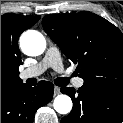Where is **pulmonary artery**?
I'll return each instance as SVG.
<instances>
[{"label":"pulmonary artery","mask_w":123,"mask_h":123,"mask_svg":"<svg viewBox=\"0 0 123 123\" xmlns=\"http://www.w3.org/2000/svg\"><path fill=\"white\" fill-rule=\"evenodd\" d=\"M48 68H52L57 72H63L64 70L59 49L55 46H50L47 49L43 59L38 64L25 69L21 73V77L30 78L38 76L42 74L44 71H46ZM83 83L84 81L81 78H77L74 81V85L77 88H80L83 85Z\"/></svg>","instance_id":"pulmonary-artery-1"}]
</instances>
